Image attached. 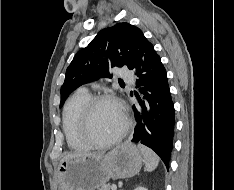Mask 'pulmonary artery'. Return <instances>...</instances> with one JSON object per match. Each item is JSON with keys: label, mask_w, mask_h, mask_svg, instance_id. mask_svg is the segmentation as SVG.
<instances>
[{"label": "pulmonary artery", "mask_w": 234, "mask_h": 190, "mask_svg": "<svg viewBox=\"0 0 234 190\" xmlns=\"http://www.w3.org/2000/svg\"><path fill=\"white\" fill-rule=\"evenodd\" d=\"M119 75L124 79H128L129 81H132L131 76L128 74V71L124 68H119ZM81 90L87 91L85 88H82Z\"/></svg>", "instance_id": "1"}]
</instances>
